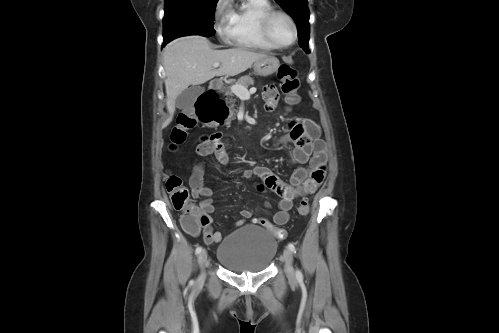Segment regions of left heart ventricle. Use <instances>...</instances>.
<instances>
[{
	"instance_id": "obj_1",
	"label": "left heart ventricle",
	"mask_w": 499,
	"mask_h": 333,
	"mask_svg": "<svg viewBox=\"0 0 499 333\" xmlns=\"http://www.w3.org/2000/svg\"><path fill=\"white\" fill-rule=\"evenodd\" d=\"M270 29L277 43L285 45L292 40V27L283 16H276L271 23Z\"/></svg>"
}]
</instances>
